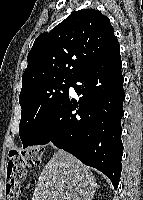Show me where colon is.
<instances>
[{"instance_id":"5ec220e1","label":"colon","mask_w":143,"mask_h":200,"mask_svg":"<svg viewBox=\"0 0 143 200\" xmlns=\"http://www.w3.org/2000/svg\"><path fill=\"white\" fill-rule=\"evenodd\" d=\"M43 150L38 147L15 149L9 152L6 165L5 199L18 200L20 184L25 179L27 167H38Z\"/></svg>"}]
</instances>
